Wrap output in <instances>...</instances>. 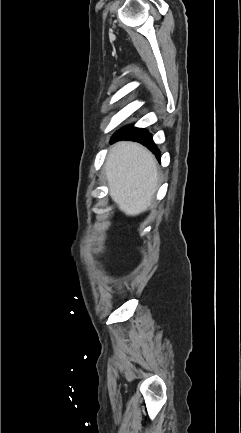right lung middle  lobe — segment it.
I'll list each match as a JSON object with an SVG mask.
<instances>
[{"label": "right lung middle lobe", "mask_w": 241, "mask_h": 433, "mask_svg": "<svg viewBox=\"0 0 241 433\" xmlns=\"http://www.w3.org/2000/svg\"><path fill=\"white\" fill-rule=\"evenodd\" d=\"M128 128H130V126L123 127L116 134L122 133V132L126 131Z\"/></svg>", "instance_id": "obj_1"}]
</instances>
